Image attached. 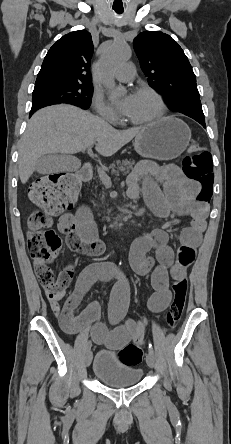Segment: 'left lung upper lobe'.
<instances>
[{
  "instance_id": "1",
  "label": "left lung upper lobe",
  "mask_w": 231,
  "mask_h": 444,
  "mask_svg": "<svg viewBox=\"0 0 231 444\" xmlns=\"http://www.w3.org/2000/svg\"><path fill=\"white\" fill-rule=\"evenodd\" d=\"M133 47L149 85L163 93L170 108L204 119L195 74L177 42L160 31H145Z\"/></svg>"
}]
</instances>
